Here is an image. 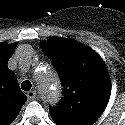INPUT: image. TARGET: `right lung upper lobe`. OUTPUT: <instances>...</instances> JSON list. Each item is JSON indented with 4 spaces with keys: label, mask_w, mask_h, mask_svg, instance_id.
I'll list each match as a JSON object with an SVG mask.
<instances>
[{
    "label": "right lung upper lobe",
    "mask_w": 125,
    "mask_h": 125,
    "mask_svg": "<svg viewBox=\"0 0 125 125\" xmlns=\"http://www.w3.org/2000/svg\"><path fill=\"white\" fill-rule=\"evenodd\" d=\"M17 43H0V125H9L27 100L19 88L15 74L7 67Z\"/></svg>",
    "instance_id": "1"
}]
</instances>
